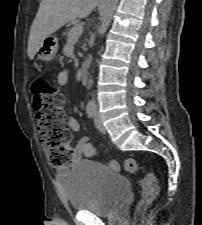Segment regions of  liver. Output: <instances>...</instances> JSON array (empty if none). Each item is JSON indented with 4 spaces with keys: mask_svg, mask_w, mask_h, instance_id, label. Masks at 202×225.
<instances>
[{
    "mask_svg": "<svg viewBox=\"0 0 202 225\" xmlns=\"http://www.w3.org/2000/svg\"><path fill=\"white\" fill-rule=\"evenodd\" d=\"M99 0H42L30 29L28 56L33 59L43 39L66 23L88 17Z\"/></svg>",
    "mask_w": 202,
    "mask_h": 225,
    "instance_id": "6515ba94",
    "label": "liver"
}]
</instances>
